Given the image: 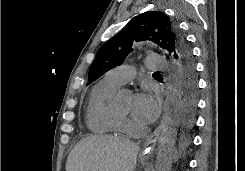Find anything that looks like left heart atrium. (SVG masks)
Here are the masks:
<instances>
[{
  "instance_id": "39dd6f15",
  "label": "left heart atrium",
  "mask_w": 245,
  "mask_h": 171,
  "mask_svg": "<svg viewBox=\"0 0 245 171\" xmlns=\"http://www.w3.org/2000/svg\"><path fill=\"white\" fill-rule=\"evenodd\" d=\"M161 109L159 98L149 89L144 88L135 94L133 99L132 115L144 124L152 123Z\"/></svg>"
}]
</instances>
